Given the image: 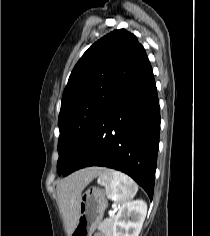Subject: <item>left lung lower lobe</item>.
I'll use <instances>...</instances> for the list:
<instances>
[{
    "instance_id": "obj_1",
    "label": "left lung lower lobe",
    "mask_w": 210,
    "mask_h": 236,
    "mask_svg": "<svg viewBox=\"0 0 210 236\" xmlns=\"http://www.w3.org/2000/svg\"><path fill=\"white\" fill-rule=\"evenodd\" d=\"M160 132L157 89L150 63L94 123L63 176L104 166L131 176L152 200Z\"/></svg>"
}]
</instances>
